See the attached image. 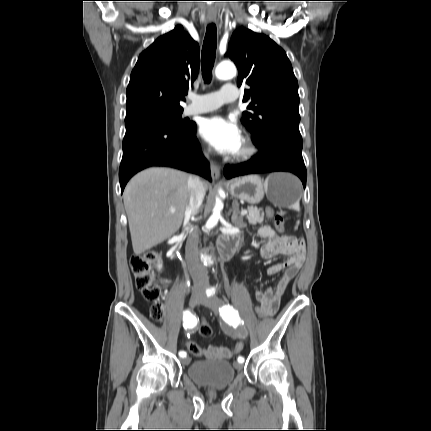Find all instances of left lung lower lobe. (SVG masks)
I'll use <instances>...</instances> for the list:
<instances>
[{
	"label": "left lung lower lobe",
	"mask_w": 431,
	"mask_h": 431,
	"mask_svg": "<svg viewBox=\"0 0 431 431\" xmlns=\"http://www.w3.org/2000/svg\"><path fill=\"white\" fill-rule=\"evenodd\" d=\"M301 135L279 130L256 144L259 153L242 166L226 167L224 175L230 179L240 175L275 171L291 172L297 175L305 188L306 168L302 157Z\"/></svg>",
	"instance_id": "0a47b994"
}]
</instances>
